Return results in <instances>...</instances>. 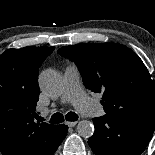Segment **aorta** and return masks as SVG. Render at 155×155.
Listing matches in <instances>:
<instances>
[{
    "label": "aorta",
    "instance_id": "aorta-1",
    "mask_svg": "<svg viewBox=\"0 0 155 155\" xmlns=\"http://www.w3.org/2000/svg\"><path fill=\"white\" fill-rule=\"evenodd\" d=\"M40 87L49 95L56 96L63 89L61 74L54 69L44 70L39 77ZM77 132L84 138H89L94 133V126L90 121L82 120L77 125Z\"/></svg>",
    "mask_w": 155,
    "mask_h": 155
}]
</instances>
